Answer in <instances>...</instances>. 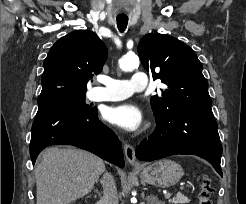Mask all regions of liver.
Wrapping results in <instances>:
<instances>
[{
    "label": "liver",
    "mask_w": 246,
    "mask_h": 204,
    "mask_svg": "<svg viewBox=\"0 0 246 204\" xmlns=\"http://www.w3.org/2000/svg\"><path fill=\"white\" fill-rule=\"evenodd\" d=\"M104 171L103 160L92 153L49 147L35 167L36 204H71L87 195Z\"/></svg>",
    "instance_id": "obj_1"
}]
</instances>
